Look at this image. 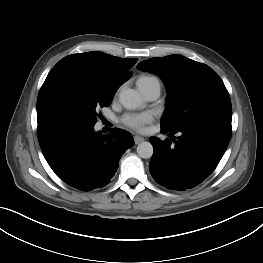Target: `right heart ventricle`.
<instances>
[{"instance_id":"obj_1","label":"right heart ventricle","mask_w":263,"mask_h":263,"mask_svg":"<svg viewBox=\"0 0 263 263\" xmlns=\"http://www.w3.org/2000/svg\"><path fill=\"white\" fill-rule=\"evenodd\" d=\"M150 78H153V77H151V76H141L140 78H139V80H146V79H150ZM138 80V81H139Z\"/></svg>"}]
</instances>
